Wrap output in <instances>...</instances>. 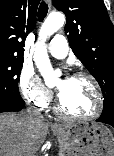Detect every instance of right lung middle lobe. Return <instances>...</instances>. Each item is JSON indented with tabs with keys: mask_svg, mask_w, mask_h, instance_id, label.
<instances>
[{
	"mask_svg": "<svg viewBox=\"0 0 114 156\" xmlns=\"http://www.w3.org/2000/svg\"><path fill=\"white\" fill-rule=\"evenodd\" d=\"M23 61V57H0V101L24 102L18 90Z\"/></svg>",
	"mask_w": 114,
	"mask_h": 156,
	"instance_id": "obj_1",
	"label": "right lung middle lobe"
}]
</instances>
